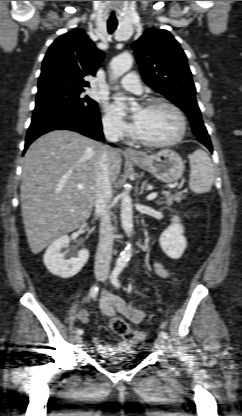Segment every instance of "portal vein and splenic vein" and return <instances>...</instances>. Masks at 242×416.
Returning a JSON list of instances; mask_svg holds the SVG:
<instances>
[{
    "label": "portal vein and splenic vein",
    "instance_id": "portal-vein-and-splenic-vein-1",
    "mask_svg": "<svg viewBox=\"0 0 242 416\" xmlns=\"http://www.w3.org/2000/svg\"><path fill=\"white\" fill-rule=\"evenodd\" d=\"M79 189H83L84 187H83V185H78L77 186ZM157 197V193L156 192H153V193H150L148 196H147V199L148 200H153V199H155Z\"/></svg>",
    "mask_w": 242,
    "mask_h": 416
}]
</instances>
